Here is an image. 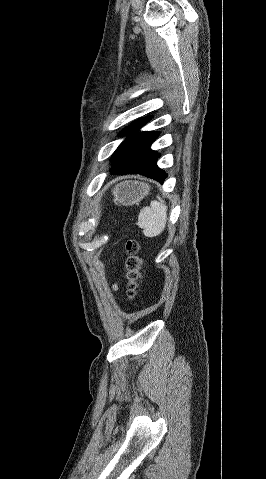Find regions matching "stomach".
Instances as JSON below:
<instances>
[{
  "label": "stomach",
  "instance_id": "obj_1",
  "mask_svg": "<svg viewBox=\"0 0 266 479\" xmlns=\"http://www.w3.org/2000/svg\"><path fill=\"white\" fill-rule=\"evenodd\" d=\"M149 185L139 181H128L118 185L113 190L115 201L123 205L138 203L149 193Z\"/></svg>",
  "mask_w": 266,
  "mask_h": 479
}]
</instances>
